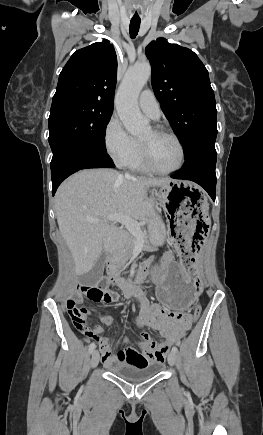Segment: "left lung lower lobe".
Listing matches in <instances>:
<instances>
[{"label":"left lung lower lobe","mask_w":263,"mask_h":435,"mask_svg":"<svg viewBox=\"0 0 263 435\" xmlns=\"http://www.w3.org/2000/svg\"><path fill=\"white\" fill-rule=\"evenodd\" d=\"M216 157L215 142L203 143L185 156L183 169L171 175V177L196 182L202 186L213 201H215Z\"/></svg>","instance_id":"0a47b994"}]
</instances>
